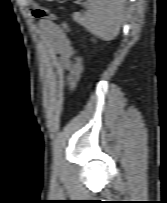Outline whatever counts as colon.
I'll return each mask as SVG.
<instances>
[{"mask_svg": "<svg viewBox=\"0 0 167 203\" xmlns=\"http://www.w3.org/2000/svg\"><path fill=\"white\" fill-rule=\"evenodd\" d=\"M32 14L35 18L45 19L49 21H56L58 19V17L55 14H53L48 9L39 4H34L32 8ZM82 71H83V59L81 55H76L74 69L70 75L69 81L70 90L72 93L75 92L77 88Z\"/></svg>", "mask_w": 167, "mask_h": 203, "instance_id": "5ec220e1", "label": "colon"}]
</instances>
